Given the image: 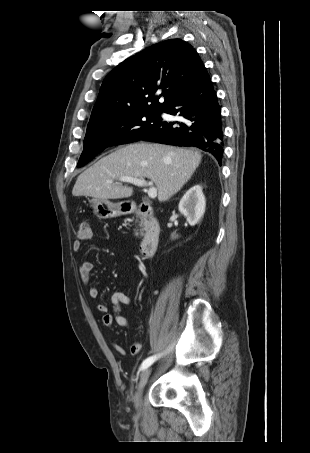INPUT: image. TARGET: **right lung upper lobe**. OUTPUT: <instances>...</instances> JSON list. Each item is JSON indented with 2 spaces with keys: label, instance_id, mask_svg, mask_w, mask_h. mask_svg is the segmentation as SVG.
<instances>
[{
  "label": "right lung upper lobe",
  "instance_id": "cb5924a9",
  "mask_svg": "<svg viewBox=\"0 0 310 453\" xmlns=\"http://www.w3.org/2000/svg\"><path fill=\"white\" fill-rule=\"evenodd\" d=\"M203 69L201 58L187 42L170 39L154 44L106 76L88 125L130 112L162 110ZM156 92L161 94L155 96Z\"/></svg>",
  "mask_w": 310,
  "mask_h": 453
}]
</instances>
